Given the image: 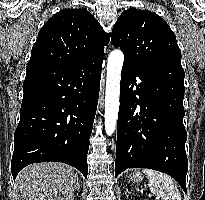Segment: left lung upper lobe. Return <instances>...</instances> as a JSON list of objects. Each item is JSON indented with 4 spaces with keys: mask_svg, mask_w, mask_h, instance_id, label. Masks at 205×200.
I'll list each match as a JSON object with an SVG mask.
<instances>
[{
    "mask_svg": "<svg viewBox=\"0 0 205 200\" xmlns=\"http://www.w3.org/2000/svg\"><path fill=\"white\" fill-rule=\"evenodd\" d=\"M111 42L114 47H120L127 65L181 62L173 31L160 16L148 10H125L113 27Z\"/></svg>",
    "mask_w": 205,
    "mask_h": 200,
    "instance_id": "5c2ea615",
    "label": "left lung upper lobe"
}]
</instances>
